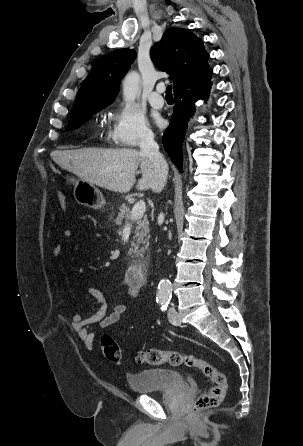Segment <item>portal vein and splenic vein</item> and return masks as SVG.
<instances>
[{"mask_svg":"<svg viewBox=\"0 0 303 446\" xmlns=\"http://www.w3.org/2000/svg\"><path fill=\"white\" fill-rule=\"evenodd\" d=\"M145 210H146V205L144 201H139L135 203L131 211L130 219L132 221L141 219L144 216Z\"/></svg>","mask_w":303,"mask_h":446,"instance_id":"1","label":"portal vein and splenic vein"}]
</instances>
